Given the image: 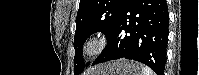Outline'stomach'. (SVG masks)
Masks as SVG:
<instances>
[{"label": "stomach", "instance_id": "1", "mask_svg": "<svg viewBox=\"0 0 199 75\" xmlns=\"http://www.w3.org/2000/svg\"><path fill=\"white\" fill-rule=\"evenodd\" d=\"M141 66L132 61H114L96 66L91 75H139Z\"/></svg>", "mask_w": 199, "mask_h": 75}]
</instances>
